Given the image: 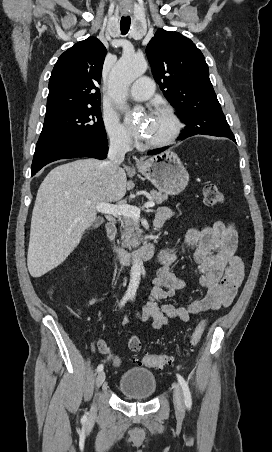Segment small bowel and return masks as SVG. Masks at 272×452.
Listing matches in <instances>:
<instances>
[{
    "label": "small bowel",
    "instance_id": "c3829d8e",
    "mask_svg": "<svg viewBox=\"0 0 272 452\" xmlns=\"http://www.w3.org/2000/svg\"><path fill=\"white\" fill-rule=\"evenodd\" d=\"M173 216L174 211L171 208L160 207L155 220H159L163 226ZM237 247L238 233L231 222L219 221L201 228H189L179 245L164 247L158 253L160 268L157 277L152 280L148 301L141 311L137 312L135 319L153 329H161L170 320L187 322L195 314L229 306L245 276L244 263L236 254ZM187 252L192 253V261L197 269L196 283L206 289L207 293L186 305L167 303L160 306V301L174 296L177 291L187 286V282L172 270L180 257ZM104 300V297L91 298L87 306ZM128 322L129 318L125 317L124 323ZM127 336L129 348L133 340L140 342L138 336L131 331ZM101 344L105 349L104 353H108L107 345Z\"/></svg>",
    "mask_w": 272,
    "mask_h": 452
}]
</instances>
